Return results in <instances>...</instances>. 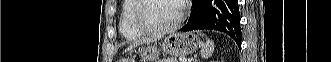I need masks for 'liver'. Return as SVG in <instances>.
<instances>
[{
	"label": "liver",
	"mask_w": 331,
	"mask_h": 62,
	"mask_svg": "<svg viewBox=\"0 0 331 62\" xmlns=\"http://www.w3.org/2000/svg\"><path fill=\"white\" fill-rule=\"evenodd\" d=\"M161 38V36H157V37H152V38H145L142 40H138L137 42L133 43L132 45L129 46V49H132L140 44H144V43H150V42H154L156 40H159Z\"/></svg>",
	"instance_id": "1"
}]
</instances>
